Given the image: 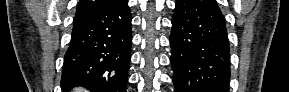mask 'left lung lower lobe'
Listing matches in <instances>:
<instances>
[{"label":"left lung lower lobe","instance_id":"0a47b994","mask_svg":"<svg viewBox=\"0 0 289 92\" xmlns=\"http://www.w3.org/2000/svg\"><path fill=\"white\" fill-rule=\"evenodd\" d=\"M170 46L174 92H229L228 33L215 0H176Z\"/></svg>","mask_w":289,"mask_h":92}]
</instances>
